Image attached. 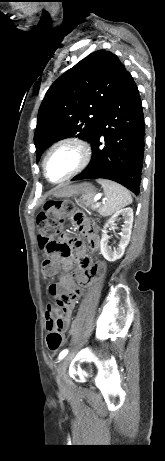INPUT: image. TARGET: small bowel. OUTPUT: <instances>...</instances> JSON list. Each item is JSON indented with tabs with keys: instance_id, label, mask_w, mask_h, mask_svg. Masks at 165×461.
I'll return each mask as SVG.
<instances>
[{
	"instance_id": "1",
	"label": "small bowel",
	"mask_w": 165,
	"mask_h": 461,
	"mask_svg": "<svg viewBox=\"0 0 165 461\" xmlns=\"http://www.w3.org/2000/svg\"><path fill=\"white\" fill-rule=\"evenodd\" d=\"M87 213V209H72L70 211L79 231L86 237L89 250L93 252L99 246V238L91 221L85 218ZM66 243L71 245L74 251L53 253L49 260L55 268V272L59 268L67 272L75 263L78 265V269L72 274L63 273L57 282L48 286L49 294L56 297L58 301L57 304H49L46 308V328L61 310V330L67 329L76 303L83 294V287L90 284L103 269L102 264L90 265V260L82 246V237H67Z\"/></svg>"
}]
</instances>
